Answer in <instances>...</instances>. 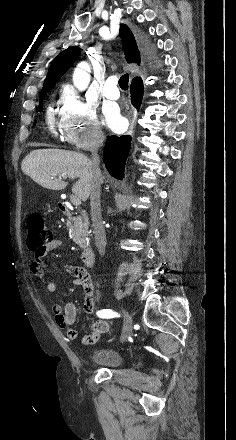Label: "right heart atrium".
<instances>
[{"instance_id": "obj_1", "label": "right heart atrium", "mask_w": 236, "mask_h": 440, "mask_svg": "<svg viewBox=\"0 0 236 440\" xmlns=\"http://www.w3.org/2000/svg\"><path fill=\"white\" fill-rule=\"evenodd\" d=\"M59 128L63 140L76 149H95L104 141L95 108L68 86L60 91Z\"/></svg>"}]
</instances>
